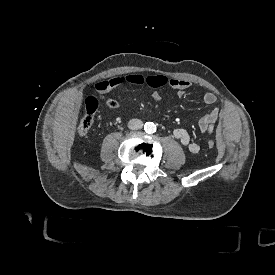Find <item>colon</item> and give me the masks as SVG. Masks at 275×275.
<instances>
[{"label":"colon","mask_w":275,"mask_h":275,"mask_svg":"<svg viewBox=\"0 0 275 275\" xmlns=\"http://www.w3.org/2000/svg\"><path fill=\"white\" fill-rule=\"evenodd\" d=\"M103 100L105 101L104 106H107L110 108H113L116 106V102L114 100L105 99V98H103ZM98 107H99V104L96 99H93L91 96L87 98L86 105H85V113L81 118L77 127V130L80 134H85L92 128L95 122V115L98 110ZM204 146L208 151H213L215 149V143L211 139L206 140L204 143Z\"/></svg>","instance_id":"colon-1"}]
</instances>
